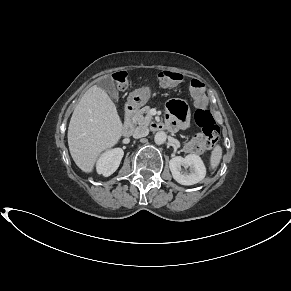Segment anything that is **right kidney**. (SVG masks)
<instances>
[{
    "label": "right kidney",
    "mask_w": 291,
    "mask_h": 291,
    "mask_svg": "<svg viewBox=\"0 0 291 291\" xmlns=\"http://www.w3.org/2000/svg\"><path fill=\"white\" fill-rule=\"evenodd\" d=\"M124 152L121 148H115L103 153L97 160L96 169L98 174L105 177L113 174L119 167Z\"/></svg>",
    "instance_id": "obj_1"
}]
</instances>
